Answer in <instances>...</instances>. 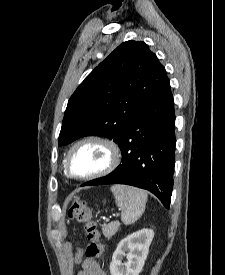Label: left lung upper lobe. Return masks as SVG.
Returning <instances> with one entry per match:
<instances>
[{
    "label": "left lung upper lobe",
    "instance_id": "left-lung-upper-lobe-1",
    "mask_svg": "<svg viewBox=\"0 0 225 275\" xmlns=\"http://www.w3.org/2000/svg\"><path fill=\"white\" fill-rule=\"evenodd\" d=\"M168 80L164 66L142 41L119 45L68 101L59 146L98 135L120 144L143 107Z\"/></svg>",
    "mask_w": 225,
    "mask_h": 275
}]
</instances>
